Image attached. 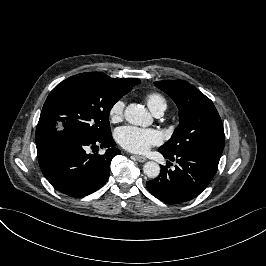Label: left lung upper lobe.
Wrapping results in <instances>:
<instances>
[{
	"label": "left lung upper lobe",
	"instance_id": "1",
	"mask_svg": "<svg viewBox=\"0 0 266 266\" xmlns=\"http://www.w3.org/2000/svg\"><path fill=\"white\" fill-rule=\"evenodd\" d=\"M154 85L177 104L180 120L172 137L159 149L172 155L188 149H202L221 155L224 129L213 102L183 80L158 81Z\"/></svg>",
	"mask_w": 266,
	"mask_h": 266
}]
</instances>
